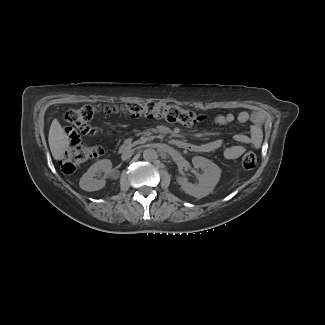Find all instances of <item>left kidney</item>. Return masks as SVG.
<instances>
[{
	"instance_id": "left-kidney-1",
	"label": "left kidney",
	"mask_w": 325,
	"mask_h": 325,
	"mask_svg": "<svg viewBox=\"0 0 325 325\" xmlns=\"http://www.w3.org/2000/svg\"><path fill=\"white\" fill-rule=\"evenodd\" d=\"M192 164L194 168L203 171L198 177L199 182L192 184L186 177H178L177 181L187 194L200 199L213 191L220 180L221 169L211 160L201 156H194Z\"/></svg>"
}]
</instances>
